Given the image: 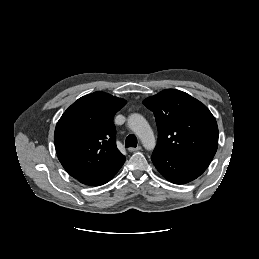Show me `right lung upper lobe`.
I'll list each match as a JSON object with an SVG mask.
<instances>
[{"label":"right lung upper lobe","mask_w":259,"mask_h":259,"mask_svg":"<svg viewBox=\"0 0 259 259\" xmlns=\"http://www.w3.org/2000/svg\"><path fill=\"white\" fill-rule=\"evenodd\" d=\"M126 101L94 92L74 102L58 121L54 143L59 161L77 180L100 176L125 160L116 147L113 117Z\"/></svg>","instance_id":"obj_1"}]
</instances>
